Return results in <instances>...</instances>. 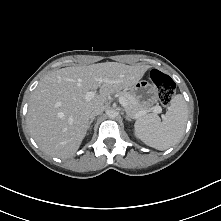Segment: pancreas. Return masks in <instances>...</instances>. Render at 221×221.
<instances>
[{
  "label": "pancreas",
  "instance_id": "pancreas-1",
  "mask_svg": "<svg viewBox=\"0 0 221 221\" xmlns=\"http://www.w3.org/2000/svg\"><path fill=\"white\" fill-rule=\"evenodd\" d=\"M117 96L123 97L127 100V106L125 107L126 113L133 119L138 118L137 115L141 111H146L152 107H143L139 100L130 92L116 91Z\"/></svg>",
  "mask_w": 221,
  "mask_h": 221
}]
</instances>
